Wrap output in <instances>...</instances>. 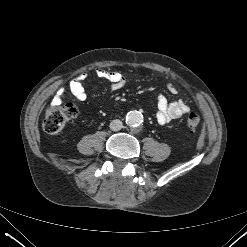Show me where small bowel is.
I'll return each instance as SVG.
<instances>
[{
  "instance_id": "1",
  "label": "small bowel",
  "mask_w": 247,
  "mask_h": 247,
  "mask_svg": "<svg viewBox=\"0 0 247 247\" xmlns=\"http://www.w3.org/2000/svg\"><path fill=\"white\" fill-rule=\"evenodd\" d=\"M96 75L99 78L110 82V90L112 92L119 91L126 85L124 75L118 71H108L103 68H98L96 69ZM86 76V73H82L71 80L67 90L65 88L58 89L52 99V103L61 104L67 94L73 96L79 101H85L87 99V94L83 86V81ZM167 90L172 94L177 93V88L171 83L167 85ZM188 112L189 107L182 100L169 102L163 94H160L157 98L156 119L160 125L178 119Z\"/></svg>"
}]
</instances>
